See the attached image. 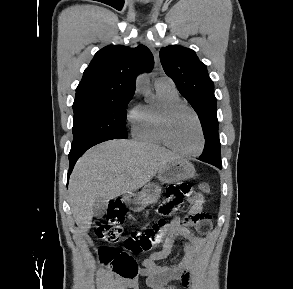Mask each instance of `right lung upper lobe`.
<instances>
[{
	"label": "right lung upper lobe",
	"instance_id": "cb5924a9",
	"mask_svg": "<svg viewBox=\"0 0 293 289\" xmlns=\"http://www.w3.org/2000/svg\"><path fill=\"white\" fill-rule=\"evenodd\" d=\"M153 65V55L144 45L104 47L85 69L75 101L133 96L136 76L151 71Z\"/></svg>",
	"mask_w": 293,
	"mask_h": 289
}]
</instances>
